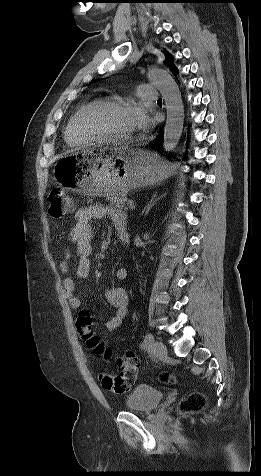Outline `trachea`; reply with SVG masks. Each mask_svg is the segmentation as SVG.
<instances>
[{"label": "trachea", "instance_id": "3493384b", "mask_svg": "<svg viewBox=\"0 0 261 476\" xmlns=\"http://www.w3.org/2000/svg\"><path fill=\"white\" fill-rule=\"evenodd\" d=\"M158 102H162V99L160 98V99L158 100Z\"/></svg>", "mask_w": 261, "mask_h": 476}]
</instances>
